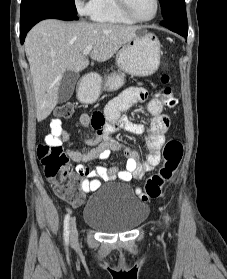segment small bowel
Here are the masks:
<instances>
[{"mask_svg":"<svg viewBox=\"0 0 227 279\" xmlns=\"http://www.w3.org/2000/svg\"><path fill=\"white\" fill-rule=\"evenodd\" d=\"M136 103H145L146 111L153 116L149 129L145 125L133 122L123 115ZM163 104L158 99L148 100V94L144 87L133 86L122 91L118 96L112 99L105 107L101 119L94 120V114L82 113L79 118L80 124L88 129L90 126H105L107 132L97 137H91L86 132L85 143L94 147L90 151H78L64 147L65 152L70 159L76 163L73 170L69 171L70 175L82 178L81 187L85 192L96 190L102 181L111 182L116 179L123 181L139 180L148 171L153 170L160 162V148L165 140V133L168 131L171 119L163 115ZM54 122L51 129H54ZM116 128L132 134H144L148 147V156L146 161H141L136 150L126 147L123 143L113 139L110 135ZM70 137L66 132H62L61 144H67ZM111 151H120L127 158L124 169L118 166L109 168L94 166L88 168L86 164L93 163L96 160L105 161L109 158ZM140 188L136 190L139 193Z\"/></svg>","mask_w":227,"mask_h":279,"instance_id":"small-bowel-1","label":"small bowel"}]
</instances>
